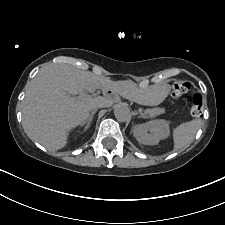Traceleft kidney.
<instances>
[{"label": "left kidney", "mask_w": 225, "mask_h": 225, "mask_svg": "<svg viewBox=\"0 0 225 225\" xmlns=\"http://www.w3.org/2000/svg\"><path fill=\"white\" fill-rule=\"evenodd\" d=\"M133 135L141 144L156 145L169 136V122L160 119L138 124L133 128Z\"/></svg>", "instance_id": "1"}]
</instances>
